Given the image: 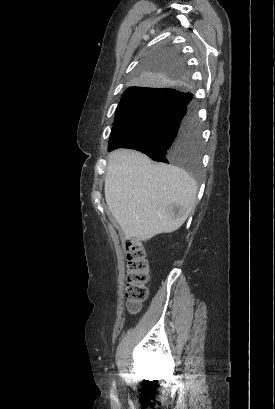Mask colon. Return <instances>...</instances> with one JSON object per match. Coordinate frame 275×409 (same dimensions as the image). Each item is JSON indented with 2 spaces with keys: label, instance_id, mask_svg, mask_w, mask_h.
I'll use <instances>...</instances> for the list:
<instances>
[{
  "label": "colon",
  "instance_id": "5ec220e1",
  "mask_svg": "<svg viewBox=\"0 0 275 409\" xmlns=\"http://www.w3.org/2000/svg\"><path fill=\"white\" fill-rule=\"evenodd\" d=\"M125 253L129 270L126 283L127 310L131 314H136L148 296L149 260L147 247L133 239H128L125 244Z\"/></svg>",
  "mask_w": 275,
  "mask_h": 409
}]
</instances>
